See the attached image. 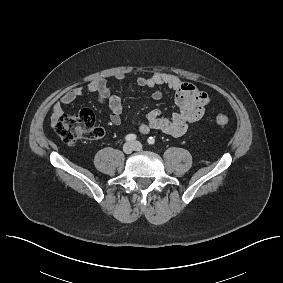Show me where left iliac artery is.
Returning a JSON list of instances; mask_svg holds the SVG:
<instances>
[{"label": "left iliac artery", "mask_w": 283, "mask_h": 283, "mask_svg": "<svg viewBox=\"0 0 283 283\" xmlns=\"http://www.w3.org/2000/svg\"><path fill=\"white\" fill-rule=\"evenodd\" d=\"M147 142H148L150 145H152V144L155 143V139H154L153 137H149V138L147 139Z\"/></svg>", "instance_id": "1"}]
</instances>
